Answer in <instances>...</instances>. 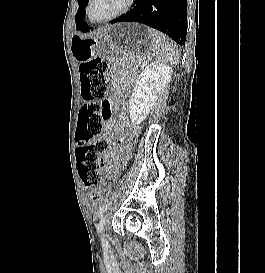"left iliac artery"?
Here are the masks:
<instances>
[{
    "label": "left iliac artery",
    "instance_id": "1",
    "mask_svg": "<svg viewBox=\"0 0 265 273\" xmlns=\"http://www.w3.org/2000/svg\"><path fill=\"white\" fill-rule=\"evenodd\" d=\"M108 207H109V203L103 204V205L100 207L99 211H98V215H99V216H102V215L104 214V212L108 209ZM102 243H103V246H104V247H107V246H108V243H107V241H106L104 238H102Z\"/></svg>",
    "mask_w": 265,
    "mask_h": 273
}]
</instances>
